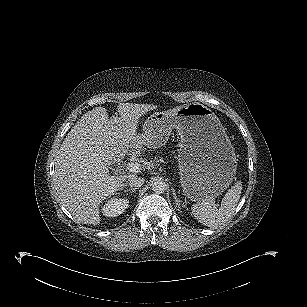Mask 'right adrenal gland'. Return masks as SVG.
I'll use <instances>...</instances> for the list:
<instances>
[{
  "label": "right adrenal gland",
  "instance_id": "obj_1",
  "mask_svg": "<svg viewBox=\"0 0 307 307\" xmlns=\"http://www.w3.org/2000/svg\"><path fill=\"white\" fill-rule=\"evenodd\" d=\"M137 188H130V189H127V191H131V192H135Z\"/></svg>",
  "mask_w": 307,
  "mask_h": 307
}]
</instances>
